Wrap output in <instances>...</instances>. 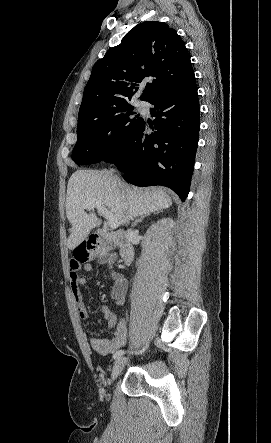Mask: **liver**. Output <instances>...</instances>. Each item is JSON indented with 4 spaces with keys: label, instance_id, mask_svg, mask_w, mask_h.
<instances>
[{
    "label": "liver",
    "instance_id": "liver-1",
    "mask_svg": "<svg viewBox=\"0 0 271 443\" xmlns=\"http://www.w3.org/2000/svg\"><path fill=\"white\" fill-rule=\"evenodd\" d=\"M112 172L98 170H77L68 180L66 196V216L70 223V235L67 247L74 249L93 227H99L102 220L95 212H85L84 204L101 202L108 212L124 225L126 218H138L172 206V200L163 190H143L127 186L118 190Z\"/></svg>",
    "mask_w": 271,
    "mask_h": 443
}]
</instances>
